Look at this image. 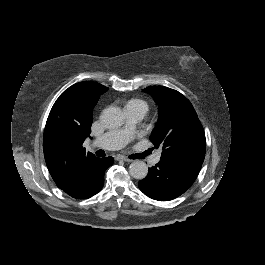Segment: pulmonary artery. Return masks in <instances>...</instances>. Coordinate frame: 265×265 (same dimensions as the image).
Returning <instances> with one entry per match:
<instances>
[{
	"instance_id": "e3ab8cb5",
	"label": "pulmonary artery",
	"mask_w": 265,
	"mask_h": 265,
	"mask_svg": "<svg viewBox=\"0 0 265 265\" xmlns=\"http://www.w3.org/2000/svg\"><path fill=\"white\" fill-rule=\"evenodd\" d=\"M129 120L124 124L121 130L110 131L107 135H101L97 139V144L101 148L120 149L128 142L135 141L139 137L137 124L135 122L143 119L145 111L142 109H126ZM161 152L157 153L153 158V163H158Z\"/></svg>"
}]
</instances>
